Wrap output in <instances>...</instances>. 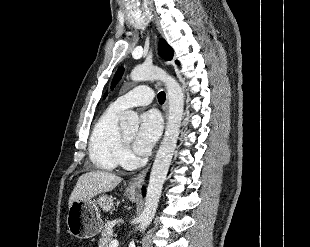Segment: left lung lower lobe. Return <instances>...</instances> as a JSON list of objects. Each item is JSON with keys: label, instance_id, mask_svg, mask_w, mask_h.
<instances>
[{"label": "left lung lower lobe", "instance_id": "left-lung-lower-lobe-1", "mask_svg": "<svg viewBox=\"0 0 310 247\" xmlns=\"http://www.w3.org/2000/svg\"><path fill=\"white\" fill-rule=\"evenodd\" d=\"M142 193H143V195H145V189L144 188L142 189Z\"/></svg>", "mask_w": 310, "mask_h": 247}]
</instances>
